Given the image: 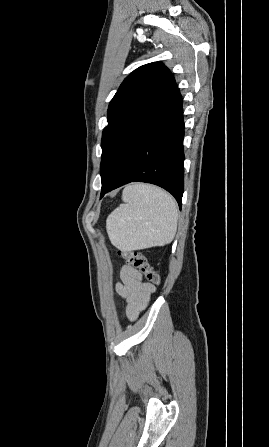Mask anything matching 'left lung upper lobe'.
<instances>
[{
  "label": "left lung upper lobe",
  "mask_w": 269,
  "mask_h": 447,
  "mask_svg": "<svg viewBox=\"0 0 269 447\" xmlns=\"http://www.w3.org/2000/svg\"><path fill=\"white\" fill-rule=\"evenodd\" d=\"M176 88L161 62L143 65L123 81L109 104L108 126L103 130L102 186L115 179L143 136L167 112Z\"/></svg>",
  "instance_id": "left-lung-upper-lobe-1"
}]
</instances>
